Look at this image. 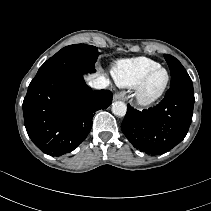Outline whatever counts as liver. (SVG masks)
Segmentation results:
<instances>
[{
    "label": "liver",
    "mask_w": 211,
    "mask_h": 211,
    "mask_svg": "<svg viewBox=\"0 0 211 211\" xmlns=\"http://www.w3.org/2000/svg\"><path fill=\"white\" fill-rule=\"evenodd\" d=\"M100 74H98V73H96V74H92V75H88L87 77H86V81H92V80H94V78L95 77H97V76H99Z\"/></svg>",
    "instance_id": "liver-1"
}]
</instances>
